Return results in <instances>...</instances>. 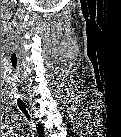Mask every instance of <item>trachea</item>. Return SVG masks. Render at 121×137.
I'll list each match as a JSON object with an SVG mask.
<instances>
[{"instance_id": "obj_1", "label": "trachea", "mask_w": 121, "mask_h": 137, "mask_svg": "<svg viewBox=\"0 0 121 137\" xmlns=\"http://www.w3.org/2000/svg\"><path fill=\"white\" fill-rule=\"evenodd\" d=\"M18 107L25 114V116H28L26 107H25L24 103L21 100H18Z\"/></svg>"}]
</instances>
